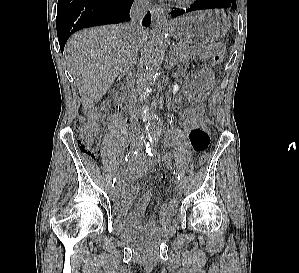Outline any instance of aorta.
Returning <instances> with one entry per match:
<instances>
[{
	"label": "aorta",
	"mask_w": 299,
	"mask_h": 273,
	"mask_svg": "<svg viewBox=\"0 0 299 273\" xmlns=\"http://www.w3.org/2000/svg\"><path fill=\"white\" fill-rule=\"evenodd\" d=\"M165 19L166 17L163 15L162 20L154 25L150 34V40L144 52V81L148 83L154 82L161 71L168 33ZM145 131L148 136L156 134L159 131V119L154 116L150 117L145 124Z\"/></svg>",
	"instance_id": "aorta-1"
}]
</instances>
